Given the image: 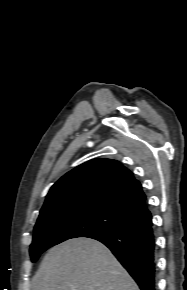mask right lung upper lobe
<instances>
[{"instance_id":"cb5924a9","label":"right lung upper lobe","mask_w":187,"mask_h":290,"mask_svg":"<svg viewBox=\"0 0 187 290\" xmlns=\"http://www.w3.org/2000/svg\"><path fill=\"white\" fill-rule=\"evenodd\" d=\"M145 200L141 184L120 162L93 159L69 171L51 187L39 217L74 207L102 206L130 222L151 215Z\"/></svg>"}]
</instances>
